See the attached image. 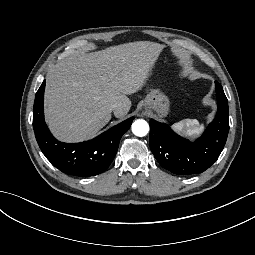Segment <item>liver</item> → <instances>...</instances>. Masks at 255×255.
Masks as SVG:
<instances>
[{"mask_svg": "<svg viewBox=\"0 0 255 255\" xmlns=\"http://www.w3.org/2000/svg\"><path fill=\"white\" fill-rule=\"evenodd\" d=\"M163 45L135 42L81 53L54 66L47 75L46 119L62 140L92 136L111 120V104L117 118L130 109L127 96L140 92L155 68Z\"/></svg>", "mask_w": 255, "mask_h": 255, "instance_id": "6515ba94", "label": "liver"}]
</instances>
